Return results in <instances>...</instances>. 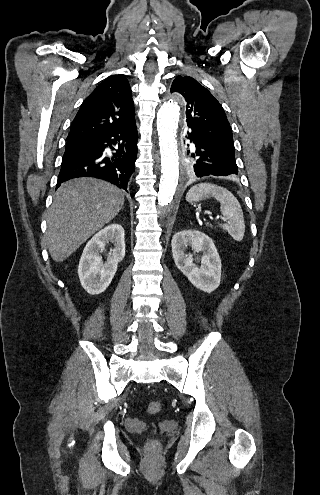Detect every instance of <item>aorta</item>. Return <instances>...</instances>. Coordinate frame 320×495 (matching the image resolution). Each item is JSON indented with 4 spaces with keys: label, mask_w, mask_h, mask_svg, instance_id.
Wrapping results in <instances>:
<instances>
[{
    "label": "aorta",
    "mask_w": 320,
    "mask_h": 495,
    "mask_svg": "<svg viewBox=\"0 0 320 495\" xmlns=\"http://www.w3.org/2000/svg\"><path fill=\"white\" fill-rule=\"evenodd\" d=\"M184 100L173 94L160 107L157 114V132L161 153V179L157 200L151 207L152 227H162L165 215L175 209L174 194L179 180L177 128L180 107Z\"/></svg>",
    "instance_id": "762f6f07"
}]
</instances>
